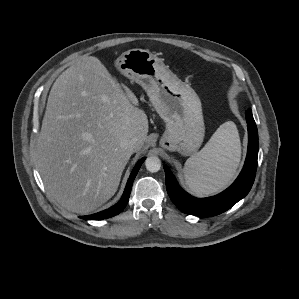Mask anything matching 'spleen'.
Segmentation results:
<instances>
[{
	"label": "spleen",
	"instance_id": "spleen-1",
	"mask_svg": "<svg viewBox=\"0 0 299 299\" xmlns=\"http://www.w3.org/2000/svg\"><path fill=\"white\" fill-rule=\"evenodd\" d=\"M241 157L240 139L234 122L227 121L210 141L185 163L184 177L196 195H208L226 187L233 179Z\"/></svg>",
	"mask_w": 299,
	"mask_h": 299
}]
</instances>
